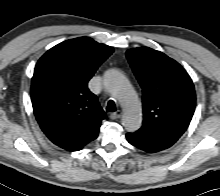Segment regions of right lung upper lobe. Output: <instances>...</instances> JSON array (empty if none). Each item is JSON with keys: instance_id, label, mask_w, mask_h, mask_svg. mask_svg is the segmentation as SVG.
Returning <instances> with one entry per match:
<instances>
[{"instance_id": "cb5924a9", "label": "right lung upper lobe", "mask_w": 220, "mask_h": 196, "mask_svg": "<svg viewBox=\"0 0 220 196\" xmlns=\"http://www.w3.org/2000/svg\"><path fill=\"white\" fill-rule=\"evenodd\" d=\"M113 51L89 37H79L54 46L38 61L32 105L40 127L54 144L78 151L98 136L106 114L87 84Z\"/></svg>"}]
</instances>
